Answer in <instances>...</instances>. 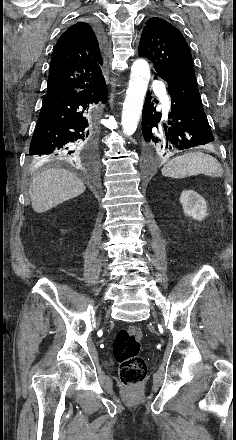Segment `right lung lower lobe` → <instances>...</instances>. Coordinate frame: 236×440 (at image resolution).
<instances>
[{"mask_svg": "<svg viewBox=\"0 0 236 440\" xmlns=\"http://www.w3.org/2000/svg\"><path fill=\"white\" fill-rule=\"evenodd\" d=\"M105 52L102 30L93 25ZM105 80L82 90L46 93L32 137L29 156L37 163L61 160L93 172L97 162V116L105 104Z\"/></svg>", "mask_w": 236, "mask_h": 440, "instance_id": "obj_1", "label": "right lung lower lobe"}]
</instances>
